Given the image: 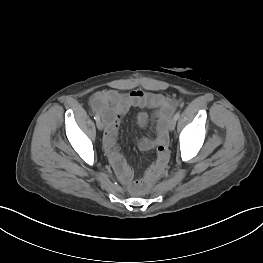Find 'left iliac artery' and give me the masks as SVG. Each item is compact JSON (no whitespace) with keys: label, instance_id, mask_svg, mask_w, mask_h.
Masks as SVG:
<instances>
[{"label":"left iliac artery","instance_id":"left-iliac-artery-1","mask_svg":"<svg viewBox=\"0 0 263 263\" xmlns=\"http://www.w3.org/2000/svg\"><path fill=\"white\" fill-rule=\"evenodd\" d=\"M179 117H180V112H177V113L174 115V118H175L176 120H178Z\"/></svg>","mask_w":263,"mask_h":263}]
</instances>
